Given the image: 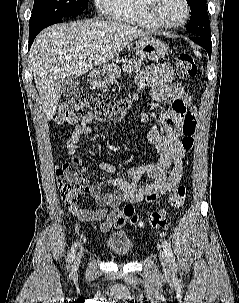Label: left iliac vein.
I'll use <instances>...</instances> for the list:
<instances>
[{"label":"left iliac vein","mask_w":239,"mask_h":303,"mask_svg":"<svg viewBox=\"0 0 239 303\" xmlns=\"http://www.w3.org/2000/svg\"><path fill=\"white\" fill-rule=\"evenodd\" d=\"M160 261L164 269H169L168 259L163 252L159 253Z\"/></svg>","instance_id":"obj_1"}]
</instances>
